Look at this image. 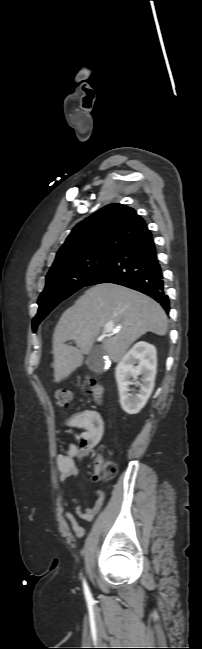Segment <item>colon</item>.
Instances as JSON below:
<instances>
[{
  "instance_id": "obj_1",
  "label": "colon",
  "mask_w": 202,
  "mask_h": 649,
  "mask_svg": "<svg viewBox=\"0 0 202 649\" xmlns=\"http://www.w3.org/2000/svg\"><path fill=\"white\" fill-rule=\"evenodd\" d=\"M96 385L95 379L86 380L83 384L85 391L91 392ZM54 398L58 406L69 408L71 405V391L68 389H57L54 392ZM95 466L98 467L104 478L110 479L116 474V465L102 455H97L94 460Z\"/></svg>"
}]
</instances>
